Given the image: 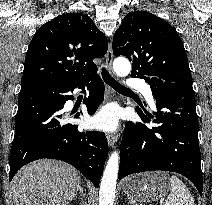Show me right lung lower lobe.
I'll return each instance as SVG.
<instances>
[{
  "label": "right lung lower lobe",
  "mask_w": 212,
  "mask_h": 205,
  "mask_svg": "<svg viewBox=\"0 0 212 205\" xmlns=\"http://www.w3.org/2000/svg\"><path fill=\"white\" fill-rule=\"evenodd\" d=\"M85 86L91 90L84 103L93 115L104 95V84L96 74L84 79L46 81L22 88L10 152V181L22 166L48 158L73 165L98 187L108 156L107 139L98 131L80 132L77 125L65 122L63 111L65 102L73 100L67 93ZM74 118H79V113Z\"/></svg>",
  "instance_id": "98d812e1"
}]
</instances>
